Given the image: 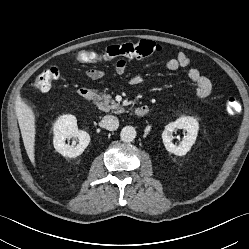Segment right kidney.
<instances>
[{
  "label": "right kidney",
  "instance_id": "1",
  "mask_svg": "<svg viewBox=\"0 0 249 249\" xmlns=\"http://www.w3.org/2000/svg\"><path fill=\"white\" fill-rule=\"evenodd\" d=\"M53 144L57 152L66 157H77L83 153L90 142L87 132L78 130L77 120L73 115H63L58 118L53 126ZM72 139V145L66 140ZM77 140V144L76 141Z\"/></svg>",
  "mask_w": 249,
  "mask_h": 249
}]
</instances>
